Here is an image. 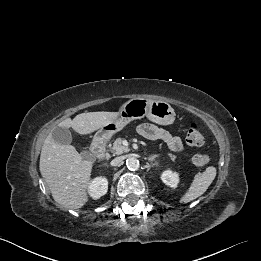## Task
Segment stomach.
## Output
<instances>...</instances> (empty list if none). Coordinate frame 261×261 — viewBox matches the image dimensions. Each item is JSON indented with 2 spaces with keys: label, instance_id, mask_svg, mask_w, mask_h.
Returning a JSON list of instances; mask_svg holds the SVG:
<instances>
[{
  "label": "stomach",
  "instance_id": "obj_1",
  "mask_svg": "<svg viewBox=\"0 0 261 261\" xmlns=\"http://www.w3.org/2000/svg\"><path fill=\"white\" fill-rule=\"evenodd\" d=\"M143 117H147L150 121L160 125H169L175 119V112L166 101L153 100L147 97L132 98L120 107L119 116L106 124L94 140H107L131 121Z\"/></svg>",
  "mask_w": 261,
  "mask_h": 261
}]
</instances>
